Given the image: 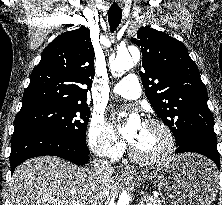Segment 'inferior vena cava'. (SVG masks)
<instances>
[{
	"instance_id": "1",
	"label": "inferior vena cava",
	"mask_w": 222,
	"mask_h": 205,
	"mask_svg": "<svg viewBox=\"0 0 222 205\" xmlns=\"http://www.w3.org/2000/svg\"><path fill=\"white\" fill-rule=\"evenodd\" d=\"M91 169L93 171H95L97 174H108L109 172H112L113 171V168L111 167V165L106 161V160H97L95 159L93 162H92V165H91Z\"/></svg>"
}]
</instances>
